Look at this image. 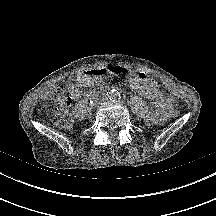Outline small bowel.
Instances as JSON below:
<instances>
[{"label": "small bowel", "instance_id": "1", "mask_svg": "<svg viewBox=\"0 0 216 216\" xmlns=\"http://www.w3.org/2000/svg\"><path fill=\"white\" fill-rule=\"evenodd\" d=\"M130 87L148 98L154 103V107L147 115L146 121L149 124H158L174 106L175 99L172 96L164 95L158 88L157 82L145 73H133L129 76ZM70 90L74 98L79 96V90L75 85H70Z\"/></svg>", "mask_w": 216, "mask_h": 216}]
</instances>
